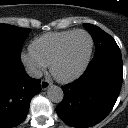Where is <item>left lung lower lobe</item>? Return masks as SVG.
<instances>
[{
  "label": "left lung lower lobe",
  "instance_id": "1",
  "mask_svg": "<svg viewBox=\"0 0 128 128\" xmlns=\"http://www.w3.org/2000/svg\"><path fill=\"white\" fill-rule=\"evenodd\" d=\"M123 79L120 49H109L94 56L85 73L63 86L58 116L69 126L86 128L101 122L112 110Z\"/></svg>",
  "mask_w": 128,
  "mask_h": 128
}]
</instances>
